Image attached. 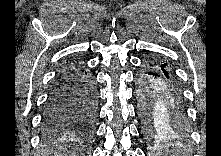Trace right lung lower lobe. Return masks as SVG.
Here are the masks:
<instances>
[{
  "instance_id": "1",
  "label": "right lung lower lobe",
  "mask_w": 221,
  "mask_h": 156,
  "mask_svg": "<svg viewBox=\"0 0 221 156\" xmlns=\"http://www.w3.org/2000/svg\"><path fill=\"white\" fill-rule=\"evenodd\" d=\"M97 108L96 86L92 76L78 67L63 70L56 78L45 106L46 132L91 127Z\"/></svg>"
}]
</instances>
